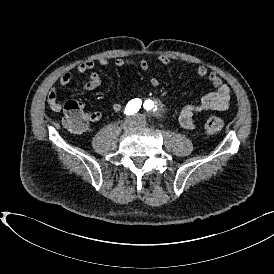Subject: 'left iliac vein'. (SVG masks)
Masks as SVG:
<instances>
[{"label":"left iliac vein","mask_w":274,"mask_h":274,"mask_svg":"<svg viewBox=\"0 0 274 274\" xmlns=\"http://www.w3.org/2000/svg\"><path fill=\"white\" fill-rule=\"evenodd\" d=\"M135 120H136V123H135L136 126L142 127V126L147 125V122H146L145 118L142 115H137L135 117Z\"/></svg>","instance_id":"1"}]
</instances>
